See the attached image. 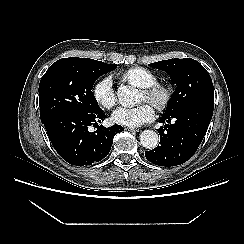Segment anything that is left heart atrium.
Here are the masks:
<instances>
[{
    "label": "left heart atrium",
    "instance_id": "left-heart-atrium-1",
    "mask_svg": "<svg viewBox=\"0 0 244 244\" xmlns=\"http://www.w3.org/2000/svg\"><path fill=\"white\" fill-rule=\"evenodd\" d=\"M153 118L154 110L148 104L134 107L122 106L117 108L112 114V119L115 123L131 128L139 127Z\"/></svg>",
    "mask_w": 244,
    "mask_h": 244
}]
</instances>
